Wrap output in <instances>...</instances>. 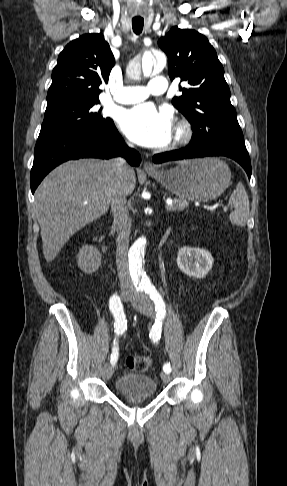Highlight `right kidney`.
<instances>
[{"mask_svg":"<svg viewBox=\"0 0 287 486\" xmlns=\"http://www.w3.org/2000/svg\"><path fill=\"white\" fill-rule=\"evenodd\" d=\"M78 267L85 273L95 272L101 263V254L97 248L85 245L77 255Z\"/></svg>","mask_w":287,"mask_h":486,"instance_id":"ca27d5eb","label":"right kidney"}]
</instances>
